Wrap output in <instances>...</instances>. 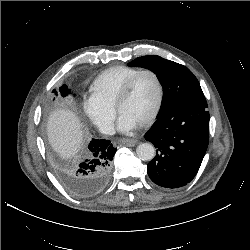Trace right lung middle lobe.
<instances>
[{
	"label": "right lung middle lobe",
	"mask_w": 250,
	"mask_h": 250,
	"mask_svg": "<svg viewBox=\"0 0 250 250\" xmlns=\"http://www.w3.org/2000/svg\"><path fill=\"white\" fill-rule=\"evenodd\" d=\"M53 92L57 95L56 90H53ZM59 92L64 97V96H66V95H68L70 93V90L68 89V87L66 85H64V86L59 88Z\"/></svg>",
	"instance_id": "obj_1"
}]
</instances>
